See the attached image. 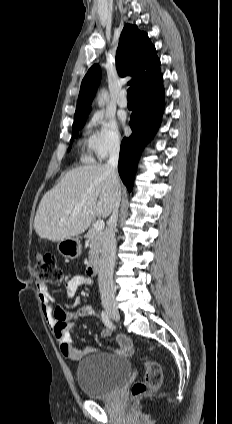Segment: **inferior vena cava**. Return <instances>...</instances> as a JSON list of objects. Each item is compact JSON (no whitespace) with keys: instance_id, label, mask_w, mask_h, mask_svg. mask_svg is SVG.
<instances>
[{"instance_id":"602c4592","label":"inferior vena cava","mask_w":232,"mask_h":424,"mask_svg":"<svg viewBox=\"0 0 232 424\" xmlns=\"http://www.w3.org/2000/svg\"><path fill=\"white\" fill-rule=\"evenodd\" d=\"M120 151L119 139L111 141L109 147V160L105 164L112 183L115 187L114 191V205L112 215L109 219L108 225L103 233L101 258L99 262L98 283L102 303L115 302V287L113 281V269L116 258V239L115 229L118 220V209L120 205V182L118 177V159Z\"/></svg>"}]
</instances>
